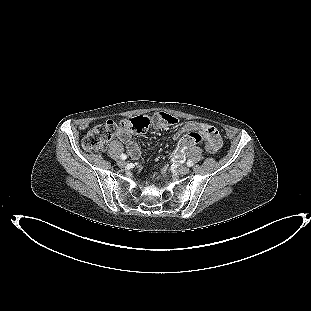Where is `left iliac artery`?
Masks as SVG:
<instances>
[{
  "label": "left iliac artery",
  "instance_id": "1",
  "mask_svg": "<svg viewBox=\"0 0 311 311\" xmlns=\"http://www.w3.org/2000/svg\"><path fill=\"white\" fill-rule=\"evenodd\" d=\"M187 166H188V167H191V166H193V161H191V160H188V161H187Z\"/></svg>",
  "mask_w": 311,
  "mask_h": 311
}]
</instances>
